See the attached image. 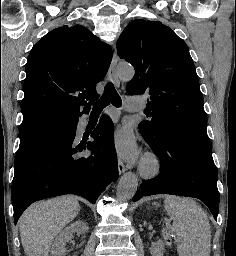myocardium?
<instances>
[{"label":"myocardium","mask_w":236,"mask_h":256,"mask_svg":"<svg viewBox=\"0 0 236 256\" xmlns=\"http://www.w3.org/2000/svg\"><path fill=\"white\" fill-rule=\"evenodd\" d=\"M139 170L143 178L153 179L162 171V160L157 153L148 151L140 162Z\"/></svg>","instance_id":"f54148a6"}]
</instances>
